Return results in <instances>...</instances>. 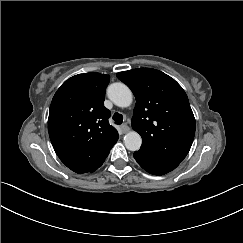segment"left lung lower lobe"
Listing matches in <instances>:
<instances>
[{
  "mask_svg": "<svg viewBox=\"0 0 243 243\" xmlns=\"http://www.w3.org/2000/svg\"><path fill=\"white\" fill-rule=\"evenodd\" d=\"M134 158L144 170L153 175H164L179 165V163L162 160L142 150L136 151Z\"/></svg>",
  "mask_w": 243,
  "mask_h": 243,
  "instance_id": "obj_1",
  "label": "left lung lower lobe"
}]
</instances>
